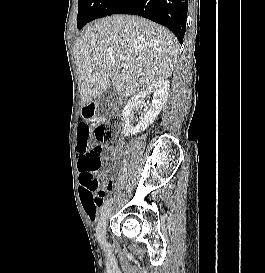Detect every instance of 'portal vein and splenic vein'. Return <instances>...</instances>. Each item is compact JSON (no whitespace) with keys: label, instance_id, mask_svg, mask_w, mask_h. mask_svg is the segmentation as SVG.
<instances>
[{"label":"portal vein and splenic vein","instance_id":"portal-vein-and-splenic-vein-1","mask_svg":"<svg viewBox=\"0 0 265 273\" xmlns=\"http://www.w3.org/2000/svg\"><path fill=\"white\" fill-rule=\"evenodd\" d=\"M122 69L125 70L127 68V65L126 64H122Z\"/></svg>","mask_w":265,"mask_h":273}]
</instances>
